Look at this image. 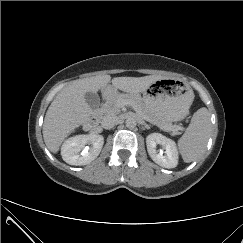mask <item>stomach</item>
I'll list each match as a JSON object with an SVG mask.
<instances>
[{
  "label": "stomach",
  "instance_id": "1",
  "mask_svg": "<svg viewBox=\"0 0 243 243\" xmlns=\"http://www.w3.org/2000/svg\"><path fill=\"white\" fill-rule=\"evenodd\" d=\"M194 100L190 86L179 81L159 80L143 92L146 109L161 121L173 123L183 120Z\"/></svg>",
  "mask_w": 243,
  "mask_h": 243
}]
</instances>
